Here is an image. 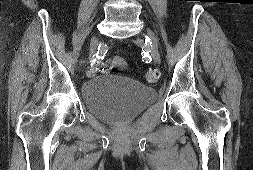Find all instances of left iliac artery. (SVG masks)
I'll return each mask as SVG.
<instances>
[{
	"instance_id": "1",
	"label": "left iliac artery",
	"mask_w": 253,
	"mask_h": 170,
	"mask_svg": "<svg viewBox=\"0 0 253 170\" xmlns=\"http://www.w3.org/2000/svg\"><path fill=\"white\" fill-rule=\"evenodd\" d=\"M145 43H146V44H149V43H150V38H148L147 36H146V39H145Z\"/></svg>"
}]
</instances>
